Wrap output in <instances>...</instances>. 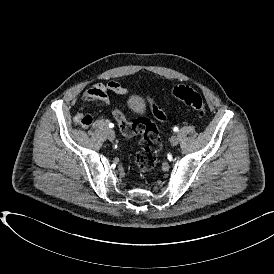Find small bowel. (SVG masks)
I'll return each instance as SVG.
<instances>
[{"label": "small bowel", "instance_id": "small-bowel-1", "mask_svg": "<svg viewBox=\"0 0 274 274\" xmlns=\"http://www.w3.org/2000/svg\"><path fill=\"white\" fill-rule=\"evenodd\" d=\"M128 92V88L117 81L93 83L92 86L85 90L82 94V104L80 105L78 112L73 118L74 123L83 129H88L91 126L93 117L90 114L85 113L84 103L93 102L102 105H108L110 102L108 95L109 93L124 95Z\"/></svg>", "mask_w": 274, "mask_h": 274}]
</instances>
